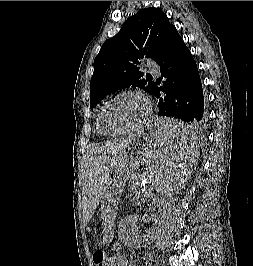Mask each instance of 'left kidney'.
Wrapping results in <instances>:
<instances>
[{"label":"left kidney","instance_id":"1","mask_svg":"<svg viewBox=\"0 0 253 266\" xmlns=\"http://www.w3.org/2000/svg\"><path fill=\"white\" fill-rule=\"evenodd\" d=\"M138 221L137 215H128L120 223L118 235L120 240L128 247H141L152 240L154 231L152 229L147 230L143 234H137L134 232L133 226Z\"/></svg>","mask_w":253,"mask_h":266}]
</instances>
